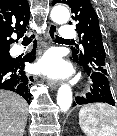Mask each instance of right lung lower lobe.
<instances>
[{
	"label": "right lung lower lobe",
	"instance_id": "right-lung-lower-lobe-1",
	"mask_svg": "<svg viewBox=\"0 0 117 136\" xmlns=\"http://www.w3.org/2000/svg\"><path fill=\"white\" fill-rule=\"evenodd\" d=\"M34 57L25 56L23 59H12L10 61L0 60V89L10 90L21 95L30 102V86L32 76H26L24 62H32Z\"/></svg>",
	"mask_w": 117,
	"mask_h": 136
}]
</instances>
